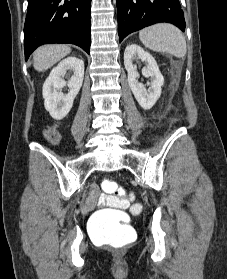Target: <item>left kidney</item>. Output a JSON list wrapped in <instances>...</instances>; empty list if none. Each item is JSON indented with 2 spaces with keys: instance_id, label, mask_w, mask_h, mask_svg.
I'll return each instance as SVG.
<instances>
[{
  "instance_id": "1",
  "label": "left kidney",
  "mask_w": 227,
  "mask_h": 279,
  "mask_svg": "<svg viewBox=\"0 0 227 279\" xmlns=\"http://www.w3.org/2000/svg\"><path fill=\"white\" fill-rule=\"evenodd\" d=\"M134 59H140L145 62V67L142 69L144 77H151L148 90L138 82L139 74L136 66L133 65ZM124 65L128 73V84L139 105L145 109H151L161 95V87L164 84V77L161 74L159 67L154 57L145 52L140 46L130 44L124 52Z\"/></svg>"
}]
</instances>
